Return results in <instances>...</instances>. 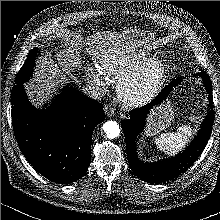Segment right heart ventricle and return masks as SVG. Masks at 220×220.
Segmentation results:
<instances>
[{
	"instance_id": "e07e8e85",
	"label": "right heart ventricle",
	"mask_w": 220,
	"mask_h": 220,
	"mask_svg": "<svg viewBox=\"0 0 220 220\" xmlns=\"http://www.w3.org/2000/svg\"><path fill=\"white\" fill-rule=\"evenodd\" d=\"M146 59V54L138 52L135 54L113 55L101 62V71L113 77H122L136 69Z\"/></svg>"
}]
</instances>
